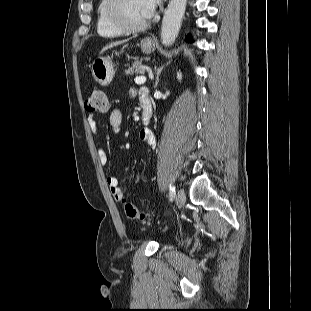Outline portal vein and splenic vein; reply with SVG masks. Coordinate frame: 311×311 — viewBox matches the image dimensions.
I'll list each match as a JSON object with an SVG mask.
<instances>
[{"instance_id":"portal-vein-and-splenic-vein-1","label":"portal vein and splenic vein","mask_w":311,"mask_h":311,"mask_svg":"<svg viewBox=\"0 0 311 311\" xmlns=\"http://www.w3.org/2000/svg\"><path fill=\"white\" fill-rule=\"evenodd\" d=\"M135 83L138 85L144 84L146 82L145 76H139L134 79Z\"/></svg>"}]
</instances>
